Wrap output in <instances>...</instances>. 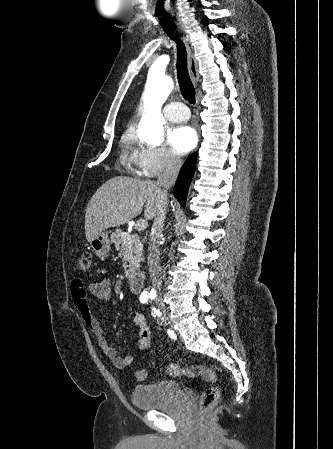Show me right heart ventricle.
<instances>
[{"label": "right heart ventricle", "instance_id": "obj_1", "mask_svg": "<svg viewBox=\"0 0 333 449\" xmlns=\"http://www.w3.org/2000/svg\"><path fill=\"white\" fill-rule=\"evenodd\" d=\"M132 142V138L129 134H126L123 138H122V146L125 150V155H128L127 149L130 146Z\"/></svg>", "mask_w": 333, "mask_h": 449}]
</instances>
